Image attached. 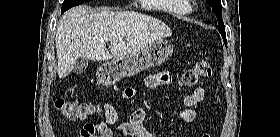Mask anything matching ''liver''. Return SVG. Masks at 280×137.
Listing matches in <instances>:
<instances>
[{"label":"liver","mask_w":280,"mask_h":137,"mask_svg":"<svg viewBox=\"0 0 280 137\" xmlns=\"http://www.w3.org/2000/svg\"><path fill=\"white\" fill-rule=\"evenodd\" d=\"M171 34L164 22L145 14L74 7L62 15L56 30L58 76L67 77L79 58L108 61L130 56Z\"/></svg>","instance_id":"1"}]
</instances>
